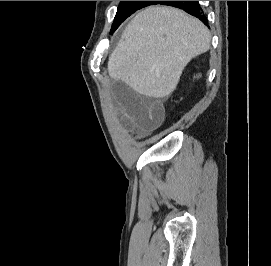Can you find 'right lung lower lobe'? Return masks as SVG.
<instances>
[{"mask_svg":"<svg viewBox=\"0 0 271 266\" xmlns=\"http://www.w3.org/2000/svg\"><path fill=\"white\" fill-rule=\"evenodd\" d=\"M157 4L169 5L183 9L187 13L199 18L208 26V21L199 5L198 1H158Z\"/></svg>","mask_w":271,"mask_h":266,"instance_id":"1","label":"right lung lower lobe"}]
</instances>
